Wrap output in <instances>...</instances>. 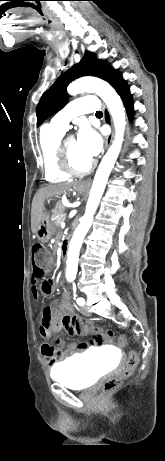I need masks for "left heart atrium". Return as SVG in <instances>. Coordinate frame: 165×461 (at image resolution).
I'll list each match as a JSON object with an SVG mask.
<instances>
[{"instance_id": "left-heart-atrium-1", "label": "left heart atrium", "mask_w": 165, "mask_h": 461, "mask_svg": "<svg viewBox=\"0 0 165 461\" xmlns=\"http://www.w3.org/2000/svg\"><path fill=\"white\" fill-rule=\"evenodd\" d=\"M76 141L81 152L89 159L98 155L102 148V139L100 135L94 129L86 125L81 127Z\"/></svg>"}]
</instances>
